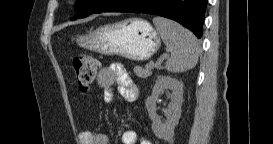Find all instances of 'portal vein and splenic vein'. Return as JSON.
Returning <instances> with one entry per match:
<instances>
[{
	"instance_id": "1",
	"label": "portal vein and splenic vein",
	"mask_w": 273,
	"mask_h": 144,
	"mask_svg": "<svg viewBox=\"0 0 273 144\" xmlns=\"http://www.w3.org/2000/svg\"><path fill=\"white\" fill-rule=\"evenodd\" d=\"M154 67V64L153 63H149L147 66H146V68H148V69H152Z\"/></svg>"
}]
</instances>
